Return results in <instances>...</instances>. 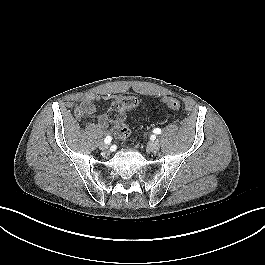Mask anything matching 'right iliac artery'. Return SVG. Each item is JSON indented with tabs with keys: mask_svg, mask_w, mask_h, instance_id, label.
<instances>
[{
	"mask_svg": "<svg viewBox=\"0 0 265 265\" xmlns=\"http://www.w3.org/2000/svg\"><path fill=\"white\" fill-rule=\"evenodd\" d=\"M111 140H112V137H111V136H107V137L104 139V142H105L106 144H108V143L111 142Z\"/></svg>",
	"mask_w": 265,
	"mask_h": 265,
	"instance_id": "1",
	"label": "right iliac artery"
}]
</instances>
